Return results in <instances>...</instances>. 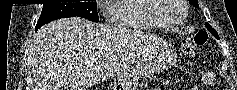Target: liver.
I'll list each match as a JSON object with an SVG mask.
<instances>
[{
    "instance_id": "1",
    "label": "liver",
    "mask_w": 237,
    "mask_h": 90,
    "mask_svg": "<svg viewBox=\"0 0 237 90\" xmlns=\"http://www.w3.org/2000/svg\"><path fill=\"white\" fill-rule=\"evenodd\" d=\"M34 78L39 90H88L121 70L120 30L63 18L35 34Z\"/></svg>"
}]
</instances>
